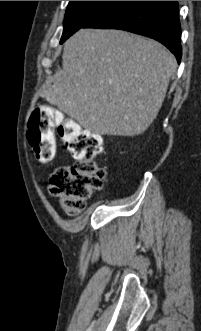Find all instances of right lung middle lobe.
I'll use <instances>...</instances> for the list:
<instances>
[{"instance_id": "obj_1", "label": "right lung middle lobe", "mask_w": 201, "mask_h": 331, "mask_svg": "<svg viewBox=\"0 0 201 331\" xmlns=\"http://www.w3.org/2000/svg\"><path fill=\"white\" fill-rule=\"evenodd\" d=\"M112 1H69L60 43L82 28Z\"/></svg>"}]
</instances>
